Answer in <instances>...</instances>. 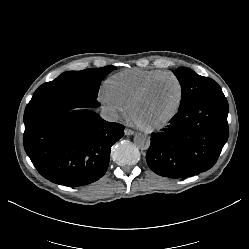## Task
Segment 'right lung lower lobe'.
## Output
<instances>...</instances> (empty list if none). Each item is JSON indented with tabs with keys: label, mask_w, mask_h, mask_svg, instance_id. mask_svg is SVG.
I'll list each match as a JSON object with an SVG mask.
<instances>
[{
	"label": "right lung lower lobe",
	"mask_w": 249,
	"mask_h": 249,
	"mask_svg": "<svg viewBox=\"0 0 249 249\" xmlns=\"http://www.w3.org/2000/svg\"><path fill=\"white\" fill-rule=\"evenodd\" d=\"M96 99L78 90L33 95L24 113V147L38 172L65 186H82L101 178L111 146L124 126L103 120Z\"/></svg>",
	"instance_id": "obj_1"
}]
</instances>
